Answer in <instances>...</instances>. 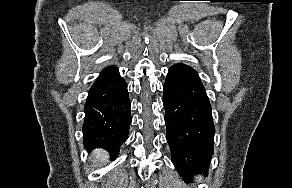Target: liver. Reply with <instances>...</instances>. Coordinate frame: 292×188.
Here are the masks:
<instances>
[{
    "mask_svg": "<svg viewBox=\"0 0 292 188\" xmlns=\"http://www.w3.org/2000/svg\"><path fill=\"white\" fill-rule=\"evenodd\" d=\"M93 155L95 161H103L107 157V153L104 150H95Z\"/></svg>",
    "mask_w": 292,
    "mask_h": 188,
    "instance_id": "obj_1",
    "label": "liver"
}]
</instances>
